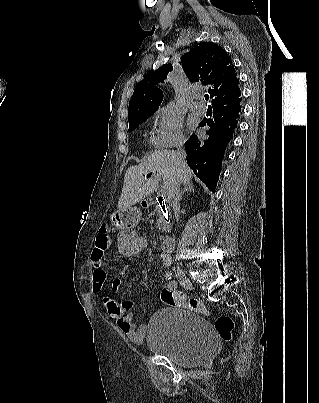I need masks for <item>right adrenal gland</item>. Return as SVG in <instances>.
<instances>
[{
    "label": "right adrenal gland",
    "instance_id": "1",
    "mask_svg": "<svg viewBox=\"0 0 319 403\" xmlns=\"http://www.w3.org/2000/svg\"><path fill=\"white\" fill-rule=\"evenodd\" d=\"M192 191H194V185H193L192 182H190V183H188V184H186V185L184 186L183 190H182L181 193H180L179 199H180V200L182 199V197H183V195H184L185 192H192Z\"/></svg>",
    "mask_w": 319,
    "mask_h": 403
}]
</instances>
